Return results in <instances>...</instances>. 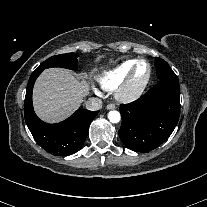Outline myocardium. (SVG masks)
Here are the masks:
<instances>
[{
  "label": "myocardium",
  "mask_w": 207,
  "mask_h": 207,
  "mask_svg": "<svg viewBox=\"0 0 207 207\" xmlns=\"http://www.w3.org/2000/svg\"><path fill=\"white\" fill-rule=\"evenodd\" d=\"M139 64H145L147 67V73L143 80L135 82V70ZM152 69L151 65L146 60H135L132 64L126 78L122 84L118 87L116 92V98L118 101L128 103L137 99L143 91L146 89L151 79Z\"/></svg>",
  "instance_id": "obj_1"
}]
</instances>
